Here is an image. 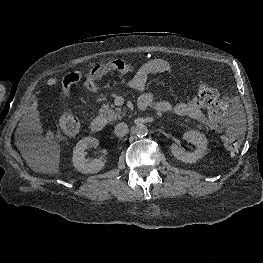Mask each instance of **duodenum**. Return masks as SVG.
<instances>
[{"label":"duodenum","mask_w":263,"mask_h":263,"mask_svg":"<svg viewBox=\"0 0 263 263\" xmlns=\"http://www.w3.org/2000/svg\"><path fill=\"white\" fill-rule=\"evenodd\" d=\"M146 105L139 103V109L144 110L146 109ZM105 122L102 118L96 117L91 121L90 128L92 132L99 133L104 129Z\"/></svg>","instance_id":"duodenum-1"}]
</instances>
